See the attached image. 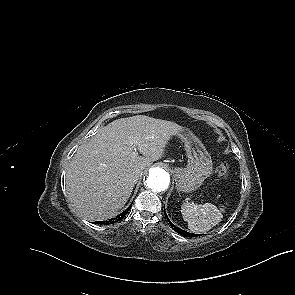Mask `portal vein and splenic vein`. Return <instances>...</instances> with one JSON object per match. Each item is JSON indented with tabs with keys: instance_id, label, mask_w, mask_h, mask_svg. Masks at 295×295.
Masks as SVG:
<instances>
[{
	"instance_id": "portal-vein-and-splenic-vein-1",
	"label": "portal vein and splenic vein",
	"mask_w": 295,
	"mask_h": 295,
	"mask_svg": "<svg viewBox=\"0 0 295 295\" xmlns=\"http://www.w3.org/2000/svg\"><path fill=\"white\" fill-rule=\"evenodd\" d=\"M133 154H134V155H137V153H136V152H134Z\"/></svg>"
}]
</instances>
